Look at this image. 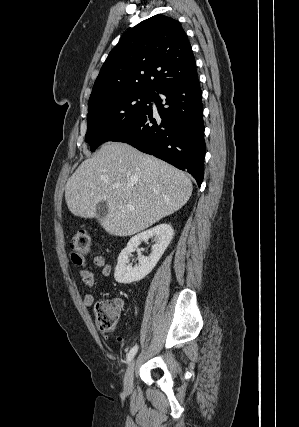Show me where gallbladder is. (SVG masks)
Returning <instances> with one entry per match:
<instances>
[{
  "instance_id": "bac80fb5",
  "label": "gallbladder",
  "mask_w": 299,
  "mask_h": 427,
  "mask_svg": "<svg viewBox=\"0 0 299 427\" xmlns=\"http://www.w3.org/2000/svg\"><path fill=\"white\" fill-rule=\"evenodd\" d=\"M108 213V204L105 201H101L96 205V215L97 217L103 218Z\"/></svg>"
}]
</instances>
